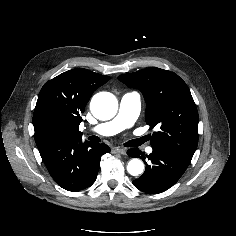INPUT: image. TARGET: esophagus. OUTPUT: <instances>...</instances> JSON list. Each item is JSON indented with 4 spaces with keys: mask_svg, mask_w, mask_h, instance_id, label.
<instances>
[{
    "mask_svg": "<svg viewBox=\"0 0 236 236\" xmlns=\"http://www.w3.org/2000/svg\"><path fill=\"white\" fill-rule=\"evenodd\" d=\"M111 151L114 154H116V153L126 154V148H124V147H113Z\"/></svg>",
    "mask_w": 236,
    "mask_h": 236,
    "instance_id": "esophagus-1",
    "label": "esophagus"
}]
</instances>
